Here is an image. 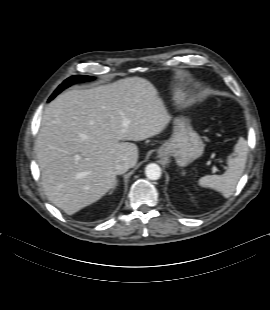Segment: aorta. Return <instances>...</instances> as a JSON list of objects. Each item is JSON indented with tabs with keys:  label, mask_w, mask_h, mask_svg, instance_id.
I'll list each match as a JSON object with an SVG mask.
<instances>
[{
	"label": "aorta",
	"mask_w": 270,
	"mask_h": 310,
	"mask_svg": "<svg viewBox=\"0 0 270 310\" xmlns=\"http://www.w3.org/2000/svg\"><path fill=\"white\" fill-rule=\"evenodd\" d=\"M145 174L150 180H158L161 177V168L158 164L150 163L145 168Z\"/></svg>",
	"instance_id": "obj_1"
}]
</instances>
